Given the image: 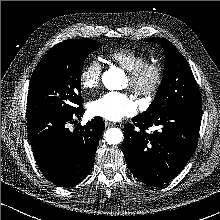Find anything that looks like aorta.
I'll return each mask as SVG.
<instances>
[{
  "label": "aorta",
  "mask_w": 220,
  "mask_h": 220,
  "mask_svg": "<svg viewBox=\"0 0 220 220\" xmlns=\"http://www.w3.org/2000/svg\"><path fill=\"white\" fill-rule=\"evenodd\" d=\"M125 74L117 68H111L102 75V82L108 90H118ZM106 142L110 145H117L123 140V133L118 128H109L105 133Z\"/></svg>",
  "instance_id": "762f6f07"
}]
</instances>
